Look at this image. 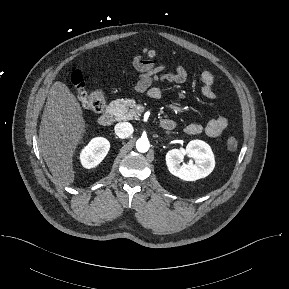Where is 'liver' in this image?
I'll use <instances>...</instances> for the list:
<instances>
[{
  "instance_id": "1",
  "label": "liver",
  "mask_w": 289,
  "mask_h": 289,
  "mask_svg": "<svg viewBox=\"0 0 289 289\" xmlns=\"http://www.w3.org/2000/svg\"><path fill=\"white\" fill-rule=\"evenodd\" d=\"M83 110L76 96L62 82H55L43 111L39 145L54 183L69 186L75 180L73 156L85 133Z\"/></svg>"
}]
</instances>
